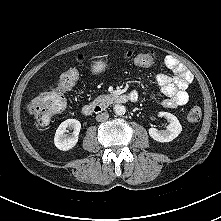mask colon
I'll return each instance as SVG.
<instances>
[{
	"label": "colon",
	"mask_w": 221,
	"mask_h": 221,
	"mask_svg": "<svg viewBox=\"0 0 221 221\" xmlns=\"http://www.w3.org/2000/svg\"><path fill=\"white\" fill-rule=\"evenodd\" d=\"M122 55L140 67H149L155 63L153 52H137L126 50ZM79 72L70 68L63 72L55 85L46 86L29 104V112L34 119L36 127H44L58 115L65 107V93L70 90L78 81ZM202 110L193 106L188 110L187 118L191 122L201 119Z\"/></svg>",
	"instance_id": "5ec220e1"
}]
</instances>
